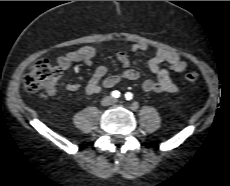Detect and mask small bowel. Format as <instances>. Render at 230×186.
Here are the masks:
<instances>
[{
  "instance_id": "small-bowel-1",
  "label": "small bowel",
  "mask_w": 230,
  "mask_h": 186,
  "mask_svg": "<svg viewBox=\"0 0 230 186\" xmlns=\"http://www.w3.org/2000/svg\"><path fill=\"white\" fill-rule=\"evenodd\" d=\"M148 46L144 43L133 44L130 53L147 51ZM96 55V48L93 45H86L77 50L71 51L57 58L58 65L63 70L70 69L75 62H83L87 66H92ZM117 60L121 64L123 71L120 74L107 76L108 68L105 65L97 66L84 87L87 95H95L102 89L113 88L122 80H138L140 73L131 67L129 54L126 51L117 53ZM166 64V66H162ZM187 64L183 58L175 51L164 48H157L154 56L149 60V69L156 76V80H145L142 83V89L145 92H168L173 93L179 90V86L174 83L170 77V72H182ZM80 88L77 81L69 82L66 89L75 92Z\"/></svg>"
}]
</instances>
